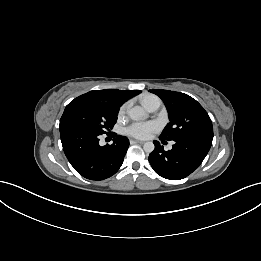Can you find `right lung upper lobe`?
<instances>
[{
  "instance_id": "obj_1",
  "label": "right lung upper lobe",
  "mask_w": 261,
  "mask_h": 261,
  "mask_svg": "<svg viewBox=\"0 0 261 261\" xmlns=\"http://www.w3.org/2000/svg\"><path fill=\"white\" fill-rule=\"evenodd\" d=\"M140 90H118V89H105L93 90L89 93L100 95L106 98L113 105L120 108V106L129 98L139 94Z\"/></svg>"
}]
</instances>
